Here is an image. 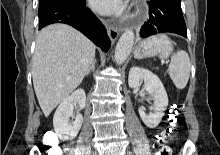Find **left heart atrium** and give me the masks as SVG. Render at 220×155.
Returning <instances> with one entry per match:
<instances>
[{
    "label": "left heart atrium",
    "instance_id": "obj_1",
    "mask_svg": "<svg viewBox=\"0 0 220 155\" xmlns=\"http://www.w3.org/2000/svg\"><path fill=\"white\" fill-rule=\"evenodd\" d=\"M91 7L101 14H120L126 7L124 0H90Z\"/></svg>",
    "mask_w": 220,
    "mask_h": 155
}]
</instances>
